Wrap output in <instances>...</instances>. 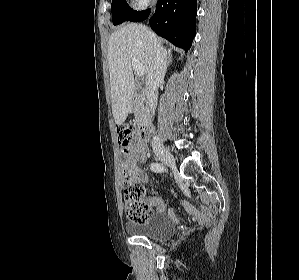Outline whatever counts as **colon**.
<instances>
[{
    "mask_svg": "<svg viewBox=\"0 0 299 280\" xmlns=\"http://www.w3.org/2000/svg\"><path fill=\"white\" fill-rule=\"evenodd\" d=\"M123 163V197L125 214L132 222H144L152 215L151 208L142 199V187L128 175V147L135 138L134 130L129 125L116 128Z\"/></svg>",
    "mask_w": 299,
    "mask_h": 280,
    "instance_id": "1",
    "label": "colon"
}]
</instances>
